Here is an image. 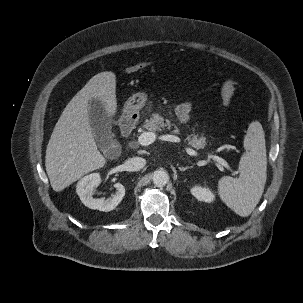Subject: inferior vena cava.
<instances>
[{
	"instance_id": "inferior-vena-cava-1",
	"label": "inferior vena cava",
	"mask_w": 303,
	"mask_h": 303,
	"mask_svg": "<svg viewBox=\"0 0 303 303\" xmlns=\"http://www.w3.org/2000/svg\"><path fill=\"white\" fill-rule=\"evenodd\" d=\"M146 164V160L141 157H133L125 162V168L129 172L139 171Z\"/></svg>"
}]
</instances>
